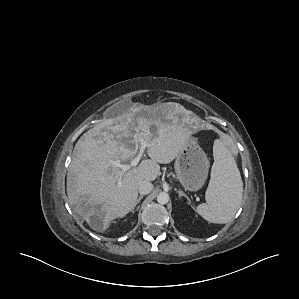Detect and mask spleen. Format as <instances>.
Segmentation results:
<instances>
[{"instance_id": "spleen-1", "label": "spleen", "mask_w": 299, "mask_h": 299, "mask_svg": "<svg viewBox=\"0 0 299 299\" xmlns=\"http://www.w3.org/2000/svg\"><path fill=\"white\" fill-rule=\"evenodd\" d=\"M213 156L206 203L198 205L197 212L208 222L225 224L240 207L243 182L234 156L222 139L215 140Z\"/></svg>"}]
</instances>
